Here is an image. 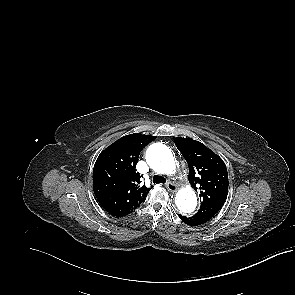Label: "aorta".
<instances>
[{"mask_svg":"<svg viewBox=\"0 0 295 295\" xmlns=\"http://www.w3.org/2000/svg\"><path fill=\"white\" fill-rule=\"evenodd\" d=\"M146 160L148 164L159 173L170 174L175 170L173 154L171 150L162 143H154L149 146ZM175 204L181 214H192L197 207L195 192L190 187L180 189L176 193Z\"/></svg>","mask_w":295,"mask_h":295,"instance_id":"obj_1","label":"aorta"}]
</instances>
